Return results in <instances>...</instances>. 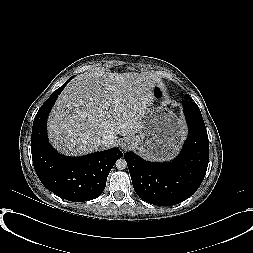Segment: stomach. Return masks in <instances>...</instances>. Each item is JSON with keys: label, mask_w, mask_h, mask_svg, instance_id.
<instances>
[{"label": "stomach", "mask_w": 253, "mask_h": 253, "mask_svg": "<svg viewBox=\"0 0 253 253\" xmlns=\"http://www.w3.org/2000/svg\"><path fill=\"white\" fill-rule=\"evenodd\" d=\"M185 137V126L170 109L149 106L141 118L138 135H133L131 147L149 160L174 157Z\"/></svg>", "instance_id": "1"}]
</instances>
